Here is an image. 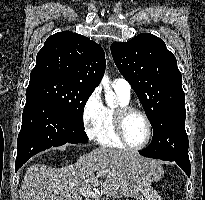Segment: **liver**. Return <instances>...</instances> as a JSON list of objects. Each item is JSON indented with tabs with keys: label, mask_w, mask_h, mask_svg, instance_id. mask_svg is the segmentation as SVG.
Here are the masks:
<instances>
[{
	"label": "liver",
	"mask_w": 205,
	"mask_h": 200,
	"mask_svg": "<svg viewBox=\"0 0 205 200\" xmlns=\"http://www.w3.org/2000/svg\"><path fill=\"white\" fill-rule=\"evenodd\" d=\"M157 168H161L159 162L135 152L99 147L61 168L31 165L18 191L19 199L81 200V189L86 187H97L106 196L135 197L162 177L163 171ZM106 169V174L97 177Z\"/></svg>",
	"instance_id": "liver-1"
}]
</instances>
